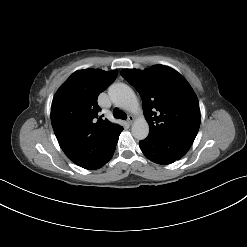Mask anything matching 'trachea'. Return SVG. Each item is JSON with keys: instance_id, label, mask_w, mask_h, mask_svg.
I'll use <instances>...</instances> for the list:
<instances>
[{"instance_id": "3493384b", "label": "trachea", "mask_w": 247, "mask_h": 247, "mask_svg": "<svg viewBox=\"0 0 247 247\" xmlns=\"http://www.w3.org/2000/svg\"><path fill=\"white\" fill-rule=\"evenodd\" d=\"M113 116L115 118H119V119H123V120H125L127 118L126 113L123 112V111H120L119 109H114L113 110Z\"/></svg>"}]
</instances>
